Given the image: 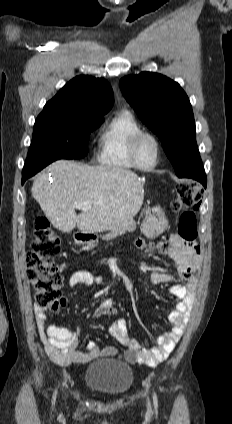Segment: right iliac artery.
<instances>
[{"instance_id":"obj_1","label":"right iliac artery","mask_w":232,"mask_h":424,"mask_svg":"<svg viewBox=\"0 0 232 424\" xmlns=\"http://www.w3.org/2000/svg\"><path fill=\"white\" fill-rule=\"evenodd\" d=\"M57 391L55 390V394L53 396V403L55 402V396H56Z\"/></svg>"}]
</instances>
